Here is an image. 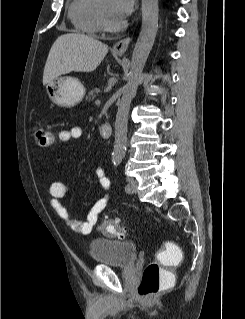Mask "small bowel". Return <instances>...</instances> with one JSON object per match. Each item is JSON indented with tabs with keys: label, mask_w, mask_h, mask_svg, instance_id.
<instances>
[{
	"label": "small bowel",
	"mask_w": 245,
	"mask_h": 319,
	"mask_svg": "<svg viewBox=\"0 0 245 319\" xmlns=\"http://www.w3.org/2000/svg\"><path fill=\"white\" fill-rule=\"evenodd\" d=\"M81 137L82 128L77 125H73L59 133V140L62 143L79 140ZM95 174L101 186L102 195L93 204L86 216V219L83 221L72 218L69 209L61 202V198L64 197L68 192V184L64 181H54L50 185L51 206L54 208L61 220L68 224L77 234L89 235L92 232L99 215L107 208L111 200L110 179L105 170L102 168H97L95 170Z\"/></svg>",
	"instance_id": "small-bowel-1"
}]
</instances>
